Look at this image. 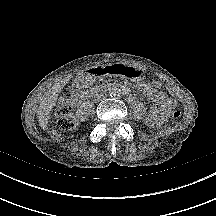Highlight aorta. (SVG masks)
Masks as SVG:
<instances>
[{
  "label": "aorta",
  "mask_w": 216,
  "mask_h": 216,
  "mask_svg": "<svg viewBox=\"0 0 216 216\" xmlns=\"http://www.w3.org/2000/svg\"><path fill=\"white\" fill-rule=\"evenodd\" d=\"M109 93L112 97H118L120 95V89L117 88L116 86H114V87L110 88Z\"/></svg>",
  "instance_id": "obj_1"
}]
</instances>
